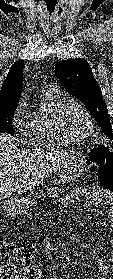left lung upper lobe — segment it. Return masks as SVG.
<instances>
[{"mask_svg":"<svg viewBox=\"0 0 113 279\" xmlns=\"http://www.w3.org/2000/svg\"><path fill=\"white\" fill-rule=\"evenodd\" d=\"M55 74L61 84L93 114L102 131L113 139L108 110L89 63L82 58L60 61L56 63Z\"/></svg>","mask_w":113,"mask_h":279,"instance_id":"1","label":"left lung upper lobe"}]
</instances>
